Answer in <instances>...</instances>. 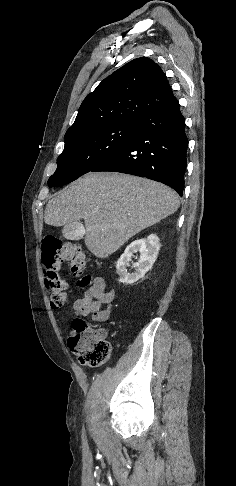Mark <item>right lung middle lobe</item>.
<instances>
[{
  "label": "right lung middle lobe",
  "instance_id": "obj_1",
  "mask_svg": "<svg viewBox=\"0 0 236 486\" xmlns=\"http://www.w3.org/2000/svg\"><path fill=\"white\" fill-rule=\"evenodd\" d=\"M137 123L116 124L89 130L65 139L58 167L49 187L68 184L92 171L126 145L136 133Z\"/></svg>",
  "mask_w": 236,
  "mask_h": 486
}]
</instances>
